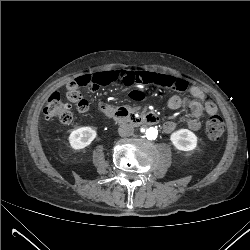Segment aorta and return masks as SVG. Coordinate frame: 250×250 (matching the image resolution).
<instances>
[{"label":"aorta","instance_id":"1","mask_svg":"<svg viewBox=\"0 0 250 250\" xmlns=\"http://www.w3.org/2000/svg\"><path fill=\"white\" fill-rule=\"evenodd\" d=\"M141 133H146L147 137L150 139H155L157 136V130L155 128H149L147 130L141 129Z\"/></svg>","mask_w":250,"mask_h":250}]
</instances>
